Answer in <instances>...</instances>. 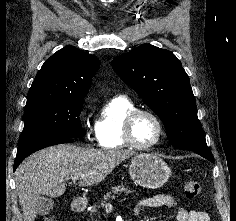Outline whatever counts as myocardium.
Wrapping results in <instances>:
<instances>
[{
	"label": "myocardium",
	"mask_w": 236,
	"mask_h": 221,
	"mask_svg": "<svg viewBox=\"0 0 236 221\" xmlns=\"http://www.w3.org/2000/svg\"><path fill=\"white\" fill-rule=\"evenodd\" d=\"M140 115H148L150 116L157 124L158 127V136L157 138L150 144L147 145H141L138 144L133 136V126L135 123V120L140 116ZM165 134V129L162 120L160 117L153 112L152 110L149 109H139L136 108L132 110L125 118L124 123H123V138L126 144L134 149L138 150H149L155 146H157L161 140L163 139Z\"/></svg>",
	"instance_id": "1"
}]
</instances>
